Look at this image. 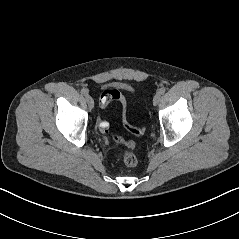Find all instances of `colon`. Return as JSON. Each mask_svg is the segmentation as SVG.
Returning <instances> with one entry per match:
<instances>
[{
  "mask_svg": "<svg viewBox=\"0 0 239 239\" xmlns=\"http://www.w3.org/2000/svg\"><path fill=\"white\" fill-rule=\"evenodd\" d=\"M111 100H118L122 105V124L123 127L132 135L139 136L145 131L144 127L131 126L126 118V103L119 91L115 89H106L103 91L100 99L101 107H105ZM99 128L103 133H106L109 124L106 120L100 119L98 122ZM113 141L125 145L128 150L120 153V159L122 162L129 167L135 166L138 163V156L136 154V146L132 141H126L124 138L113 135Z\"/></svg>",
  "mask_w": 239,
  "mask_h": 239,
  "instance_id": "obj_1",
  "label": "colon"
}]
</instances>
